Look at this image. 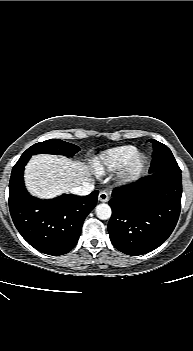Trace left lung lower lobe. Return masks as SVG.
<instances>
[{
	"label": "left lung lower lobe",
	"instance_id": "1",
	"mask_svg": "<svg viewBox=\"0 0 193 351\" xmlns=\"http://www.w3.org/2000/svg\"><path fill=\"white\" fill-rule=\"evenodd\" d=\"M182 176L178 165L161 168L109 201L108 231L121 252L137 256L159 247L172 233L181 209Z\"/></svg>",
	"mask_w": 193,
	"mask_h": 351
}]
</instances>
